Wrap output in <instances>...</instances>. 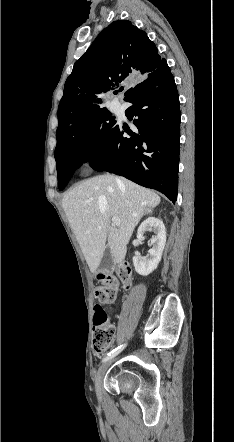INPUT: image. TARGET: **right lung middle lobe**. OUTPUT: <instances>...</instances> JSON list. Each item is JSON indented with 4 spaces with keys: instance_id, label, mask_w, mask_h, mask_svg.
Segmentation results:
<instances>
[{
    "instance_id": "1",
    "label": "right lung middle lobe",
    "mask_w": 234,
    "mask_h": 442,
    "mask_svg": "<svg viewBox=\"0 0 234 442\" xmlns=\"http://www.w3.org/2000/svg\"><path fill=\"white\" fill-rule=\"evenodd\" d=\"M117 121L106 109L88 115L68 139L56 146L58 187L63 190L75 170L95 158L107 143Z\"/></svg>"
}]
</instances>
